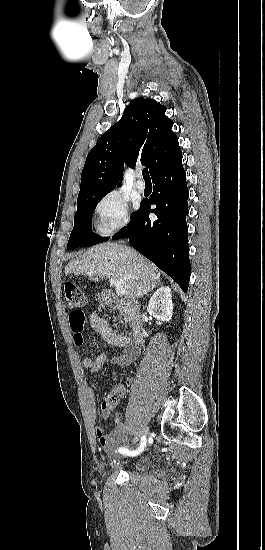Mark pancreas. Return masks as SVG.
<instances>
[{"mask_svg": "<svg viewBox=\"0 0 265 550\" xmlns=\"http://www.w3.org/2000/svg\"><path fill=\"white\" fill-rule=\"evenodd\" d=\"M120 318H124L125 322H129L130 321V315H129V311H126V310H123L119 313L118 315Z\"/></svg>", "mask_w": 265, "mask_h": 550, "instance_id": "1", "label": "pancreas"}]
</instances>
